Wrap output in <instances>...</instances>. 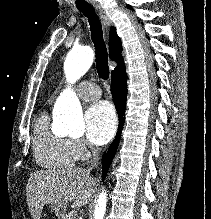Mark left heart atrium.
<instances>
[{
	"label": "left heart atrium",
	"mask_w": 211,
	"mask_h": 219,
	"mask_svg": "<svg viewBox=\"0 0 211 219\" xmlns=\"http://www.w3.org/2000/svg\"><path fill=\"white\" fill-rule=\"evenodd\" d=\"M85 124L88 139L96 145L105 144L115 133L116 113L109 103H96L87 110Z\"/></svg>",
	"instance_id": "left-heart-atrium-1"
}]
</instances>
